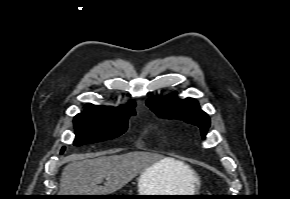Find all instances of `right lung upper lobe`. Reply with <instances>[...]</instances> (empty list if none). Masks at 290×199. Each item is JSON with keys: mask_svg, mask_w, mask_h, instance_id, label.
<instances>
[{"mask_svg": "<svg viewBox=\"0 0 290 199\" xmlns=\"http://www.w3.org/2000/svg\"><path fill=\"white\" fill-rule=\"evenodd\" d=\"M134 106H135L134 101H130L126 106H120L117 108L87 104L86 109L81 114L104 115V116H115V115H122V114L133 115L135 114Z\"/></svg>", "mask_w": 290, "mask_h": 199, "instance_id": "1", "label": "right lung upper lobe"}]
</instances>
